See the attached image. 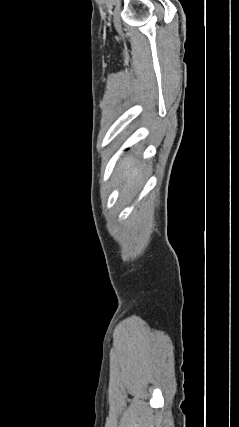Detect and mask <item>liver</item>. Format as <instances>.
<instances>
[{
    "label": "liver",
    "mask_w": 239,
    "mask_h": 427,
    "mask_svg": "<svg viewBox=\"0 0 239 427\" xmlns=\"http://www.w3.org/2000/svg\"><path fill=\"white\" fill-rule=\"evenodd\" d=\"M122 165L124 171L121 179L125 182V186H132L138 176V168L130 162H125Z\"/></svg>",
    "instance_id": "1"
}]
</instances>
